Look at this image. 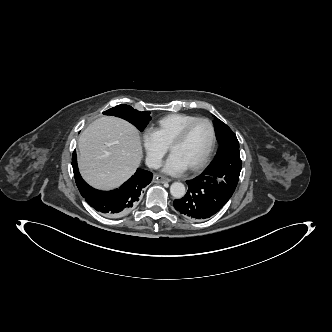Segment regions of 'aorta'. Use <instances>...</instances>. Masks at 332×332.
I'll use <instances>...</instances> for the list:
<instances>
[{
	"instance_id": "1",
	"label": "aorta",
	"mask_w": 332,
	"mask_h": 332,
	"mask_svg": "<svg viewBox=\"0 0 332 332\" xmlns=\"http://www.w3.org/2000/svg\"><path fill=\"white\" fill-rule=\"evenodd\" d=\"M170 193L176 199H180V198L184 197V195L186 193L184 184L181 182L172 183L170 186Z\"/></svg>"
}]
</instances>
